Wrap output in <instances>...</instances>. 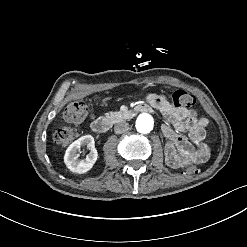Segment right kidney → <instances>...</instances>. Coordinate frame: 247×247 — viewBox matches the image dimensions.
Returning <instances> with one entry per match:
<instances>
[{
    "instance_id": "right-kidney-1",
    "label": "right kidney",
    "mask_w": 247,
    "mask_h": 247,
    "mask_svg": "<svg viewBox=\"0 0 247 247\" xmlns=\"http://www.w3.org/2000/svg\"><path fill=\"white\" fill-rule=\"evenodd\" d=\"M83 145H86L87 148L92 149L94 147V138L87 134L76 139L70 144L64 155V163L67 168L78 174H83L91 170L97 160L96 149H92L90 154L87 155L85 159H79L78 151Z\"/></svg>"
}]
</instances>
